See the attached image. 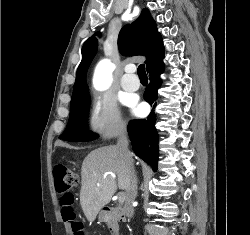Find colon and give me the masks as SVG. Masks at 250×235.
Wrapping results in <instances>:
<instances>
[{
	"label": "colon",
	"mask_w": 250,
	"mask_h": 235,
	"mask_svg": "<svg viewBox=\"0 0 250 235\" xmlns=\"http://www.w3.org/2000/svg\"><path fill=\"white\" fill-rule=\"evenodd\" d=\"M54 179L56 190L60 193L63 219L70 224L73 235H85L84 225L74 209V197L69 192L78 184V174L70 167L59 164L54 169Z\"/></svg>",
	"instance_id": "1"
}]
</instances>
